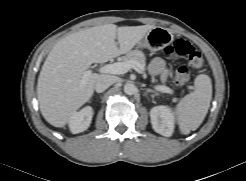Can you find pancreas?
<instances>
[{
  "mask_svg": "<svg viewBox=\"0 0 246 181\" xmlns=\"http://www.w3.org/2000/svg\"><path fill=\"white\" fill-rule=\"evenodd\" d=\"M123 62L135 61L141 64L143 67L146 64V58L142 51L133 50L128 52L125 56L122 57Z\"/></svg>",
  "mask_w": 246,
  "mask_h": 181,
  "instance_id": "pancreas-1",
  "label": "pancreas"
}]
</instances>
